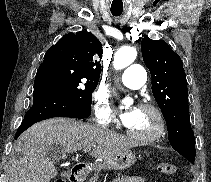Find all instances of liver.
Listing matches in <instances>:
<instances>
[{
  "label": "liver",
  "instance_id": "obj_1",
  "mask_svg": "<svg viewBox=\"0 0 211 182\" xmlns=\"http://www.w3.org/2000/svg\"><path fill=\"white\" fill-rule=\"evenodd\" d=\"M54 144L61 146V158L66 153L94 146L90 155L101 160L136 146L129 137L108 129L74 119H48L31 126L15 142L9 182H50L57 175L55 158L48 155V148Z\"/></svg>",
  "mask_w": 211,
  "mask_h": 182
}]
</instances>
